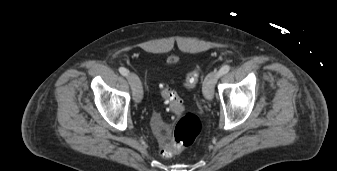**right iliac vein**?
Here are the masks:
<instances>
[{
  "label": "right iliac vein",
  "instance_id": "obj_1",
  "mask_svg": "<svg viewBox=\"0 0 337 171\" xmlns=\"http://www.w3.org/2000/svg\"><path fill=\"white\" fill-rule=\"evenodd\" d=\"M127 79L133 91V99L136 102H140L142 100V86L138 76L134 73H129Z\"/></svg>",
  "mask_w": 337,
  "mask_h": 171
}]
</instances>
